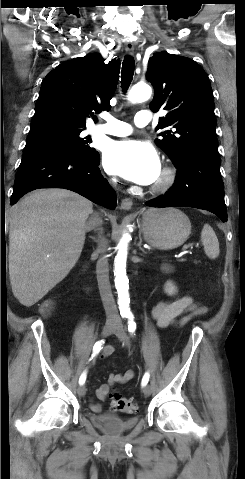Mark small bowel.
Returning <instances> with one entry per match:
<instances>
[{"mask_svg":"<svg viewBox=\"0 0 245 479\" xmlns=\"http://www.w3.org/2000/svg\"><path fill=\"white\" fill-rule=\"evenodd\" d=\"M205 312V308L197 304L190 296H182L173 301H160L153 310L152 315L162 328L173 324H183L191 317ZM114 352V348L107 346L102 351V357H108ZM135 377L133 370H127L124 373H113L109 376L108 382L101 385L97 391L96 396L100 401H104L109 392L110 386L116 384H123ZM92 411L99 413L102 411V404L92 402L90 404Z\"/></svg>","mask_w":245,"mask_h":479,"instance_id":"obj_1","label":"small bowel"}]
</instances>
